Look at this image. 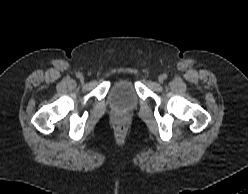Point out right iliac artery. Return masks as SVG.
Segmentation results:
<instances>
[{"label":"right iliac artery","instance_id":"right-iliac-artery-1","mask_svg":"<svg viewBox=\"0 0 248 194\" xmlns=\"http://www.w3.org/2000/svg\"><path fill=\"white\" fill-rule=\"evenodd\" d=\"M76 77L80 78L81 77V73H76Z\"/></svg>","mask_w":248,"mask_h":194}]
</instances>
